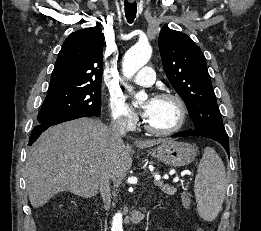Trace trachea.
<instances>
[{"label":"trachea","mask_w":261,"mask_h":231,"mask_svg":"<svg viewBox=\"0 0 261 231\" xmlns=\"http://www.w3.org/2000/svg\"><path fill=\"white\" fill-rule=\"evenodd\" d=\"M137 4L125 2V16L129 23H132L136 17Z\"/></svg>","instance_id":"1"}]
</instances>
